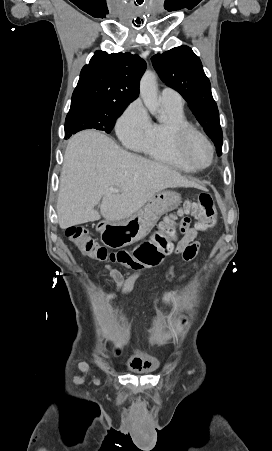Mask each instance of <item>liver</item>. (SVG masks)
Segmentation results:
<instances>
[{
	"instance_id": "obj_1",
	"label": "liver",
	"mask_w": 272,
	"mask_h": 451,
	"mask_svg": "<svg viewBox=\"0 0 272 451\" xmlns=\"http://www.w3.org/2000/svg\"><path fill=\"white\" fill-rule=\"evenodd\" d=\"M198 188L164 164L150 162L119 148L111 138L85 130L68 140L57 200L58 224L66 227L105 218H130L165 188ZM118 188L120 192H109ZM102 204L99 212L94 210Z\"/></svg>"
}]
</instances>
